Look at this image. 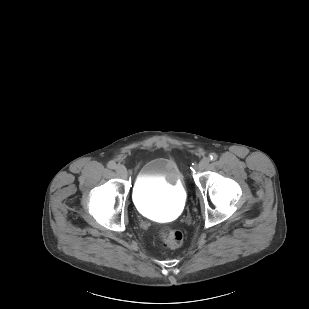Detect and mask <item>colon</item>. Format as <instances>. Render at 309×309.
<instances>
[{
	"instance_id": "1",
	"label": "colon",
	"mask_w": 309,
	"mask_h": 309,
	"mask_svg": "<svg viewBox=\"0 0 309 309\" xmlns=\"http://www.w3.org/2000/svg\"><path fill=\"white\" fill-rule=\"evenodd\" d=\"M160 240L167 248H178L183 242V233L176 228L166 227L159 233Z\"/></svg>"
}]
</instances>
